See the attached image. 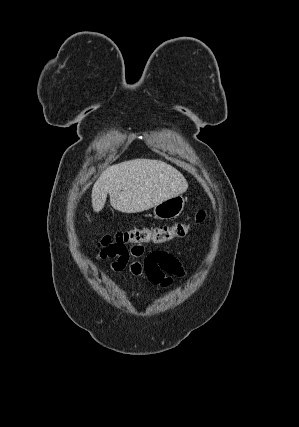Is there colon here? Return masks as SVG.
Masks as SVG:
<instances>
[{"instance_id":"1","label":"colon","mask_w":299,"mask_h":427,"mask_svg":"<svg viewBox=\"0 0 299 427\" xmlns=\"http://www.w3.org/2000/svg\"><path fill=\"white\" fill-rule=\"evenodd\" d=\"M205 218L202 209L192 213L190 221L177 222L169 225L134 227L119 231L114 235L104 236L98 244L101 257H114L127 251L129 245L154 244L160 245L184 238L190 234L194 225L200 224Z\"/></svg>"}]
</instances>
